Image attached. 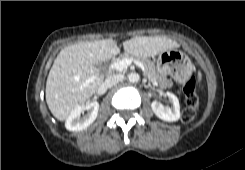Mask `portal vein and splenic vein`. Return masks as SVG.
<instances>
[{
  "label": "portal vein and splenic vein",
  "mask_w": 245,
  "mask_h": 170,
  "mask_svg": "<svg viewBox=\"0 0 245 170\" xmlns=\"http://www.w3.org/2000/svg\"><path fill=\"white\" fill-rule=\"evenodd\" d=\"M132 62H134L139 68L142 69L144 74H146L145 67H144V65L141 62L133 61L132 59H129V58H125V59H122V60H119L117 62L112 63L109 66V69L122 71V70L126 69L128 66H130ZM154 84H157V83L154 82Z\"/></svg>",
  "instance_id": "obj_1"
}]
</instances>
